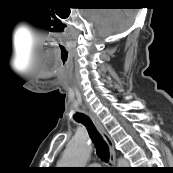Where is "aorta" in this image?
Returning a JSON list of instances; mask_svg holds the SVG:
<instances>
[{
	"label": "aorta",
	"instance_id": "762f6f07",
	"mask_svg": "<svg viewBox=\"0 0 173 173\" xmlns=\"http://www.w3.org/2000/svg\"><path fill=\"white\" fill-rule=\"evenodd\" d=\"M91 145L87 139H75L73 140L65 150L60 165L62 167H83L91 154ZM119 167H126L128 162L125 159L118 160Z\"/></svg>",
	"mask_w": 173,
	"mask_h": 173
}]
</instances>
